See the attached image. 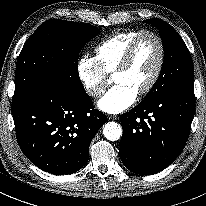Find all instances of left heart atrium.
<instances>
[{"mask_svg":"<svg viewBox=\"0 0 206 206\" xmlns=\"http://www.w3.org/2000/svg\"><path fill=\"white\" fill-rule=\"evenodd\" d=\"M136 96L137 94L129 87L117 84L99 99L97 106L103 112L119 114L135 102Z\"/></svg>","mask_w":206,"mask_h":206,"instance_id":"obj_1","label":"left heart atrium"}]
</instances>
